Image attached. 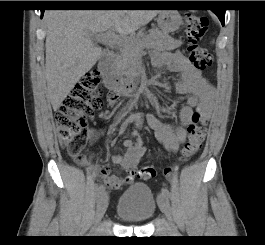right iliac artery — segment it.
<instances>
[{
	"label": "right iliac artery",
	"instance_id": "obj_1",
	"mask_svg": "<svg viewBox=\"0 0 265 245\" xmlns=\"http://www.w3.org/2000/svg\"><path fill=\"white\" fill-rule=\"evenodd\" d=\"M130 120V117L126 119L125 122H128ZM124 122V123H125ZM105 194V187L103 185L99 186L96 192V199H99L102 195Z\"/></svg>",
	"mask_w": 265,
	"mask_h": 245
}]
</instances>
